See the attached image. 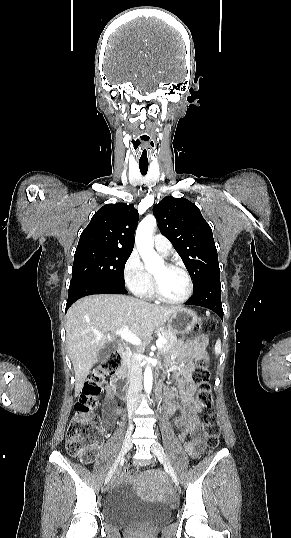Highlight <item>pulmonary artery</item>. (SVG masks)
Here are the masks:
<instances>
[{
	"instance_id": "e3ab8cb5",
	"label": "pulmonary artery",
	"mask_w": 291,
	"mask_h": 538,
	"mask_svg": "<svg viewBox=\"0 0 291 538\" xmlns=\"http://www.w3.org/2000/svg\"><path fill=\"white\" fill-rule=\"evenodd\" d=\"M154 247L163 256H168L172 251V245L170 241L161 234L154 237Z\"/></svg>"
}]
</instances>
